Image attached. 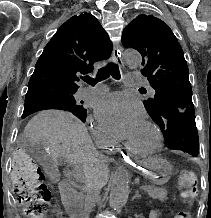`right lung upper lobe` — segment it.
Here are the masks:
<instances>
[{
  "instance_id": "cb5924a9",
  "label": "right lung upper lobe",
  "mask_w": 211,
  "mask_h": 218,
  "mask_svg": "<svg viewBox=\"0 0 211 218\" xmlns=\"http://www.w3.org/2000/svg\"><path fill=\"white\" fill-rule=\"evenodd\" d=\"M112 42L99 21L84 13L67 20L45 46L28 84L25 102L77 91L80 74L110 57Z\"/></svg>"
}]
</instances>
